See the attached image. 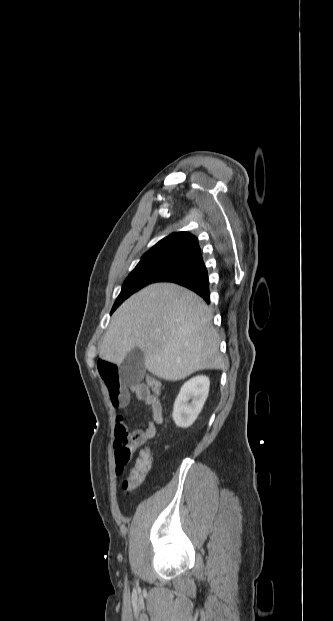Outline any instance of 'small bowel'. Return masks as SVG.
I'll use <instances>...</instances> for the list:
<instances>
[{"label":"small bowel","instance_id":"1","mask_svg":"<svg viewBox=\"0 0 333 621\" xmlns=\"http://www.w3.org/2000/svg\"><path fill=\"white\" fill-rule=\"evenodd\" d=\"M97 367L113 407L126 408L130 403L131 394H134L150 410L146 428L136 429L133 432L129 431L127 420L123 416L116 417L113 449L116 472L120 474L129 463L134 449L155 436L157 426L163 422L162 404L147 381L125 386L120 379L119 368L114 362L101 358L97 362Z\"/></svg>","mask_w":333,"mask_h":621}]
</instances>
